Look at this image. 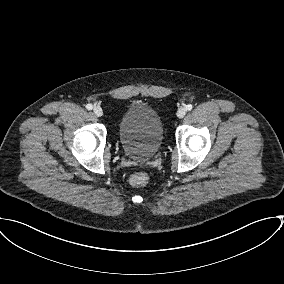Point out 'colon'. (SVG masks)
Returning a JSON list of instances; mask_svg holds the SVG:
<instances>
[{"label":"colon","instance_id":"colon-1","mask_svg":"<svg viewBox=\"0 0 284 284\" xmlns=\"http://www.w3.org/2000/svg\"><path fill=\"white\" fill-rule=\"evenodd\" d=\"M148 180H149V176L145 172H139V173L133 174L130 177V183L135 187L145 185L148 182Z\"/></svg>","mask_w":284,"mask_h":284}]
</instances>
